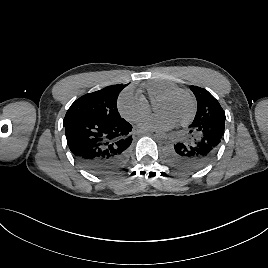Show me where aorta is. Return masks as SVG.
I'll return each instance as SVG.
<instances>
[{
    "instance_id": "obj_1",
    "label": "aorta",
    "mask_w": 268,
    "mask_h": 268,
    "mask_svg": "<svg viewBox=\"0 0 268 268\" xmlns=\"http://www.w3.org/2000/svg\"><path fill=\"white\" fill-rule=\"evenodd\" d=\"M154 138L157 142L162 143L166 140L167 135L164 131L159 130L155 133Z\"/></svg>"
}]
</instances>
